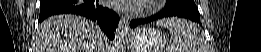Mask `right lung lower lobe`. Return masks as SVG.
I'll return each mask as SVG.
<instances>
[{
	"label": "right lung lower lobe",
	"mask_w": 261,
	"mask_h": 52,
	"mask_svg": "<svg viewBox=\"0 0 261 52\" xmlns=\"http://www.w3.org/2000/svg\"><path fill=\"white\" fill-rule=\"evenodd\" d=\"M77 14L97 22L109 39L114 38L119 16L98 0H41L39 22L56 14Z\"/></svg>",
	"instance_id": "1"
}]
</instances>
